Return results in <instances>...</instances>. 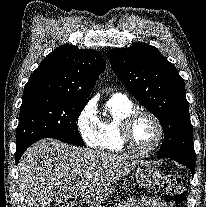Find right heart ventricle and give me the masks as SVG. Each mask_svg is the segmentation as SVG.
<instances>
[{"instance_id": "1", "label": "right heart ventricle", "mask_w": 206, "mask_h": 207, "mask_svg": "<svg viewBox=\"0 0 206 207\" xmlns=\"http://www.w3.org/2000/svg\"><path fill=\"white\" fill-rule=\"evenodd\" d=\"M135 110L127 99L113 95L106 103L107 116L99 121V146L110 153H123L120 127L124 119Z\"/></svg>"}]
</instances>
